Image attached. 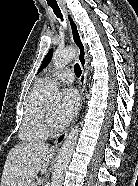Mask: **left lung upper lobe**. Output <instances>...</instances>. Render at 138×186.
<instances>
[{
    "mask_svg": "<svg viewBox=\"0 0 138 186\" xmlns=\"http://www.w3.org/2000/svg\"><path fill=\"white\" fill-rule=\"evenodd\" d=\"M52 55H53V49H51L48 53H47V55L45 56V58H44V60H43V62H42V64H41V66H40V68H39V70H38V73H40L48 64H49V62H50V60H51V58H52ZM37 73V74H38Z\"/></svg>",
    "mask_w": 138,
    "mask_h": 186,
    "instance_id": "5c2ea615",
    "label": "left lung upper lobe"
}]
</instances>
